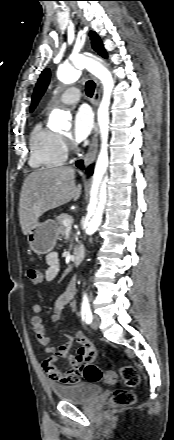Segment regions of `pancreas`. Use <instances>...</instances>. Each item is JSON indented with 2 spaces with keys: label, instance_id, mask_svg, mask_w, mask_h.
I'll return each mask as SVG.
<instances>
[{
  "label": "pancreas",
  "instance_id": "cf45deb5",
  "mask_svg": "<svg viewBox=\"0 0 174 440\" xmlns=\"http://www.w3.org/2000/svg\"><path fill=\"white\" fill-rule=\"evenodd\" d=\"M67 218H70V215H68L66 213H62L56 217L58 231L61 235H65L68 231V228L63 225V221Z\"/></svg>",
  "mask_w": 174,
  "mask_h": 440
}]
</instances>
